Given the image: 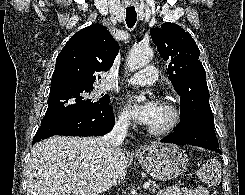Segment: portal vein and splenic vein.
I'll return each instance as SVG.
<instances>
[{"mask_svg":"<svg viewBox=\"0 0 245 195\" xmlns=\"http://www.w3.org/2000/svg\"><path fill=\"white\" fill-rule=\"evenodd\" d=\"M86 182L85 181H79L78 182V184L79 185H84ZM150 186V182H146L145 184H144V188H148Z\"/></svg>","mask_w":245,"mask_h":195,"instance_id":"obj_1","label":"portal vein and splenic vein"}]
</instances>
